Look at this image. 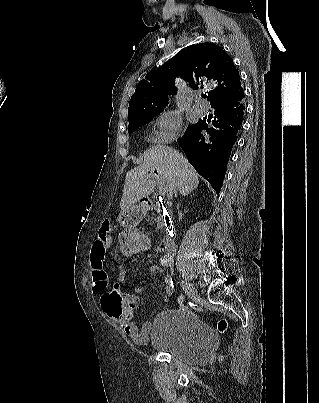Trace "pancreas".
<instances>
[{"mask_svg":"<svg viewBox=\"0 0 319 403\" xmlns=\"http://www.w3.org/2000/svg\"><path fill=\"white\" fill-rule=\"evenodd\" d=\"M157 212L159 213L158 217L156 218L157 228L162 229L165 226L163 216L160 214V210H157Z\"/></svg>","mask_w":319,"mask_h":403,"instance_id":"pancreas-1","label":"pancreas"}]
</instances>
